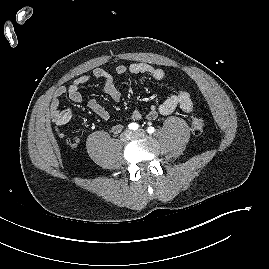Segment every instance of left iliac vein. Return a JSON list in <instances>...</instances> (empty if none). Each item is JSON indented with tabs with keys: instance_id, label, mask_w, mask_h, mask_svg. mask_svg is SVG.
<instances>
[{
	"instance_id": "4c4485c4",
	"label": "left iliac vein",
	"mask_w": 269,
	"mask_h": 269,
	"mask_svg": "<svg viewBox=\"0 0 269 269\" xmlns=\"http://www.w3.org/2000/svg\"><path fill=\"white\" fill-rule=\"evenodd\" d=\"M145 134L146 132L143 129L133 132L134 137H141V136H144Z\"/></svg>"
}]
</instances>
